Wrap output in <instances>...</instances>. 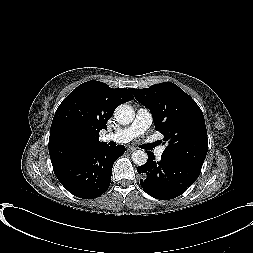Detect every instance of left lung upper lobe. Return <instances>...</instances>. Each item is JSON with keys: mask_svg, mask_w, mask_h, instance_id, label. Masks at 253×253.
I'll list each match as a JSON object with an SVG mask.
<instances>
[{"mask_svg": "<svg viewBox=\"0 0 253 253\" xmlns=\"http://www.w3.org/2000/svg\"><path fill=\"white\" fill-rule=\"evenodd\" d=\"M135 99L150 109L155 129L164 135V155L202 167L208 150L204 116L196 102L171 82L131 89Z\"/></svg>", "mask_w": 253, "mask_h": 253, "instance_id": "5c2ea615", "label": "left lung upper lobe"}]
</instances>
